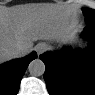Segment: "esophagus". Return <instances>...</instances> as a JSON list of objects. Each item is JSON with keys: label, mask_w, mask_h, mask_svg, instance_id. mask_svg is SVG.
Segmentation results:
<instances>
[{"label": "esophagus", "mask_w": 95, "mask_h": 95, "mask_svg": "<svg viewBox=\"0 0 95 95\" xmlns=\"http://www.w3.org/2000/svg\"><path fill=\"white\" fill-rule=\"evenodd\" d=\"M36 51L38 54H42L46 49L47 46L44 43H39L36 47H35Z\"/></svg>", "instance_id": "1"}]
</instances>
